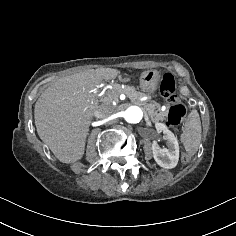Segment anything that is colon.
I'll use <instances>...</instances> for the list:
<instances>
[{
  "mask_svg": "<svg viewBox=\"0 0 236 236\" xmlns=\"http://www.w3.org/2000/svg\"><path fill=\"white\" fill-rule=\"evenodd\" d=\"M160 92L172 104L167 117V125L170 127L178 125L186 114V107L176 94L175 78L172 74L167 73L163 76Z\"/></svg>",
  "mask_w": 236,
  "mask_h": 236,
  "instance_id": "colon-1",
  "label": "colon"
}]
</instances>
